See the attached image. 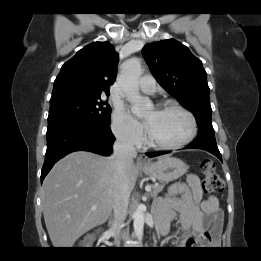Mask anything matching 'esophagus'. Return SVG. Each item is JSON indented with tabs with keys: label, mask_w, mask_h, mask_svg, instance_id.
<instances>
[{
	"label": "esophagus",
	"mask_w": 261,
	"mask_h": 261,
	"mask_svg": "<svg viewBox=\"0 0 261 261\" xmlns=\"http://www.w3.org/2000/svg\"><path fill=\"white\" fill-rule=\"evenodd\" d=\"M136 164L139 168H146L147 166H149V162L147 161L145 155H140L137 158Z\"/></svg>",
	"instance_id": "34e87169"
}]
</instances>
